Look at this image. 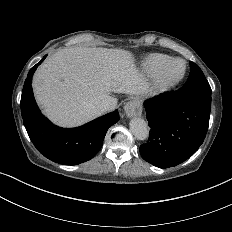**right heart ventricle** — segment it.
<instances>
[{
  "label": "right heart ventricle",
  "mask_w": 232,
  "mask_h": 232,
  "mask_svg": "<svg viewBox=\"0 0 232 232\" xmlns=\"http://www.w3.org/2000/svg\"><path fill=\"white\" fill-rule=\"evenodd\" d=\"M173 58L166 54L152 53L135 62L130 68V75L137 82L153 78L164 69Z\"/></svg>",
  "instance_id": "right-heart-ventricle-1"
}]
</instances>
